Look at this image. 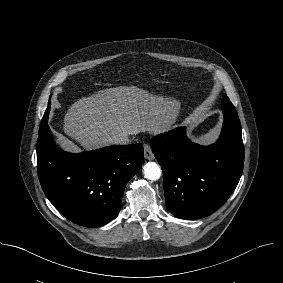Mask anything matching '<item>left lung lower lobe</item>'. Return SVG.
<instances>
[{
	"mask_svg": "<svg viewBox=\"0 0 283 283\" xmlns=\"http://www.w3.org/2000/svg\"><path fill=\"white\" fill-rule=\"evenodd\" d=\"M224 123L210 146L191 142L185 127L152 138L163 171L167 209L181 219H199L220 208L236 188L244 165L241 124L232 103H222Z\"/></svg>",
	"mask_w": 283,
	"mask_h": 283,
	"instance_id": "1",
	"label": "left lung lower lobe"
}]
</instances>
